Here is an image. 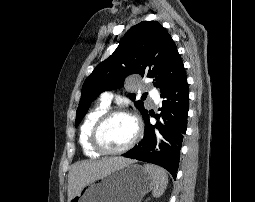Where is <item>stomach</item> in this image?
Masks as SVG:
<instances>
[{
    "label": "stomach",
    "mask_w": 255,
    "mask_h": 202,
    "mask_svg": "<svg viewBox=\"0 0 255 202\" xmlns=\"http://www.w3.org/2000/svg\"><path fill=\"white\" fill-rule=\"evenodd\" d=\"M152 189V176L131 164L91 181L70 202H141Z\"/></svg>",
    "instance_id": "stomach-1"
}]
</instances>
